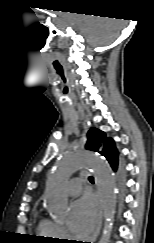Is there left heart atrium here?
<instances>
[{
	"mask_svg": "<svg viewBox=\"0 0 154 243\" xmlns=\"http://www.w3.org/2000/svg\"><path fill=\"white\" fill-rule=\"evenodd\" d=\"M96 209L94 199L86 195L77 200L71 208L70 229L77 235L89 234L95 225Z\"/></svg>",
	"mask_w": 154,
	"mask_h": 243,
	"instance_id": "obj_1",
	"label": "left heart atrium"
}]
</instances>
